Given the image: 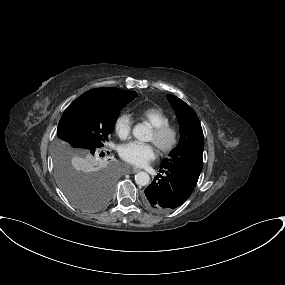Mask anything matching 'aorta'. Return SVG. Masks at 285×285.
I'll return each mask as SVG.
<instances>
[{
    "instance_id": "762f6f07",
    "label": "aorta",
    "mask_w": 285,
    "mask_h": 285,
    "mask_svg": "<svg viewBox=\"0 0 285 285\" xmlns=\"http://www.w3.org/2000/svg\"><path fill=\"white\" fill-rule=\"evenodd\" d=\"M150 133H151V130L149 126L145 124H137L134 126L132 130L133 136L142 142H147L149 140ZM149 181H150V176L148 173L144 171L138 172L135 175V182L139 186H146L149 183Z\"/></svg>"
}]
</instances>
